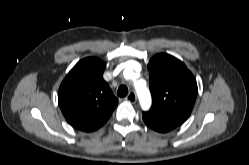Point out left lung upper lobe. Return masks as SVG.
<instances>
[{
	"instance_id": "obj_1",
	"label": "left lung upper lobe",
	"mask_w": 249,
	"mask_h": 165,
	"mask_svg": "<svg viewBox=\"0 0 249 165\" xmlns=\"http://www.w3.org/2000/svg\"><path fill=\"white\" fill-rule=\"evenodd\" d=\"M152 107L143 117L154 122L183 124L190 116L197 97V83L185 64L160 53L148 63Z\"/></svg>"
}]
</instances>
